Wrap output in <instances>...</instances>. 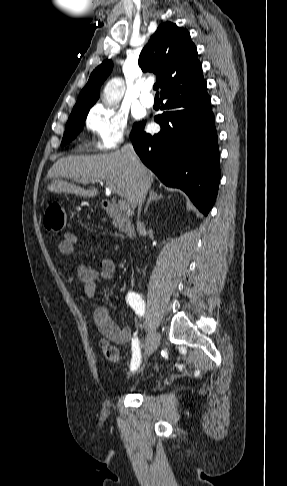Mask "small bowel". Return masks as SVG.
Listing matches in <instances>:
<instances>
[{
    "mask_svg": "<svg viewBox=\"0 0 287 486\" xmlns=\"http://www.w3.org/2000/svg\"><path fill=\"white\" fill-rule=\"evenodd\" d=\"M79 243L78 237L65 232L63 238L58 243V250L62 255L70 256L75 252V247ZM117 249V246H115ZM116 275V265L110 258H102L99 268H91L79 265L77 277L81 284L83 293L91 299L96 297L97 286L105 281L114 280ZM94 321L101 334L108 340L116 344L132 342V329L130 326H119L111 317L109 310L105 307H98L94 312Z\"/></svg>",
    "mask_w": 287,
    "mask_h": 486,
    "instance_id": "1",
    "label": "small bowel"
}]
</instances>
